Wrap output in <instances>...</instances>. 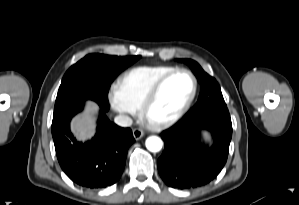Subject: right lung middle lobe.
<instances>
[{"label": "right lung middle lobe", "instance_id": "1", "mask_svg": "<svg viewBox=\"0 0 299 205\" xmlns=\"http://www.w3.org/2000/svg\"><path fill=\"white\" fill-rule=\"evenodd\" d=\"M141 56H108L89 54L65 73L58 90L54 115L87 99L108 102V90L113 79Z\"/></svg>", "mask_w": 299, "mask_h": 205}]
</instances>
